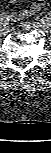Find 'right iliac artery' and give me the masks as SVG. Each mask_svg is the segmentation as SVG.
Wrapping results in <instances>:
<instances>
[{
  "label": "right iliac artery",
  "mask_w": 51,
  "mask_h": 153,
  "mask_svg": "<svg viewBox=\"0 0 51 153\" xmlns=\"http://www.w3.org/2000/svg\"><path fill=\"white\" fill-rule=\"evenodd\" d=\"M0 21H1L0 22L1 25L5 26L6 24H8L9 18H8V16L5 13H2Z\"/></svg>",
  "instance_id": "obj_1"
}]
</instances>
